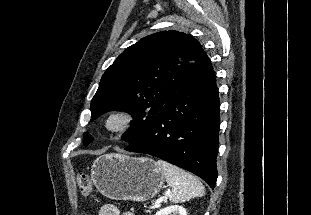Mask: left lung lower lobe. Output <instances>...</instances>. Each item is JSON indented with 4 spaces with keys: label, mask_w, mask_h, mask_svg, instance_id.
<instances>
[{
    "label": "left lung lower lobe",
    "mask_w": 311,
    "mask_h": 215,
    "mask_svg": "<svg viewBox=\"0 0 311 215\" xmlns=\"http://www.w3.org/2000/svg\"><path fill=\"white\" fill-rule=\"evenodd\" d=\"M218 93L215 72L203 51L185 83L125 150L161 158L198 175L214 188L220 126Z\"/></svg>",
    "instance_id": "0a47b994"
}]
</instances>
